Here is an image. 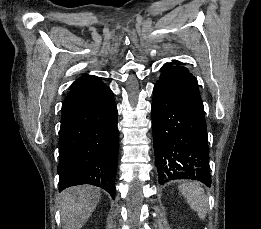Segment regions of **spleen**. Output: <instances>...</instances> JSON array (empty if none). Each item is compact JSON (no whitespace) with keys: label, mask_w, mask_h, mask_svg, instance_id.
I'll list each match as a JSON object with an SVG mask.
<instances>
[{"label":"spleen","mask_w":261,"mask_h":229,"mask_svg":"<svg viewBox=\"0 0 261 229\" xmlns=\"http://www.w3.org/2000/svg\"><path fill=\"white\" fill-rule=\"evenodd\" d=\"M179 191L185 197L188 205L196 211L199 219H205L207 213V199L205 191L198 181H188L179 185Z\"/></svg>","instance_id":"3e777b00"}]
</instances>
